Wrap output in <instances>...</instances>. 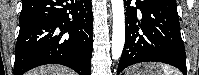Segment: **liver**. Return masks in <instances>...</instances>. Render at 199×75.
I'll return each instance as SVG.
<instances>
[{
    "label": "liver",
    "instance_id": "liver-1",
    "mask_svg": "<svg viewBox=\"0 0 199 75\" xmlns=\"http://www.w3.org/2000/svg\"><path fill=\"white\" fill-rule=\"evenodd\" d=\"M26 75H76L69 68L59 65H46L26 73Z\"/></svg>",
    "mask_w": 199,
    "mask_h": 75
}]
</instances>
